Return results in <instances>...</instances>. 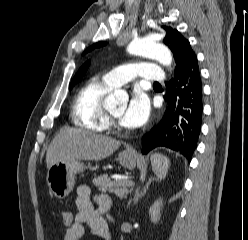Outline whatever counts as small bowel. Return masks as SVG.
<instances>
[{
  "label": "small bowel",
  "mask_w": 248,
  "mask_h": 240,
  "mask_svg": "<svg viewBox=\"0 0 248 240\" xmlns=\"http://www.w3.org/2000/svg\"><path fill=\"white\" fill-rule=\"evenodd\" d=\"M75 204L77 213L66 227L62 240H80L85 232L84 224H88L96 234L95 227L105 221L103 215L110 209L111 199L106 194L93 195L89 186L80 185L76 189Z\"/></svg>",
  "instance_id": "1"
}]
</instances>
